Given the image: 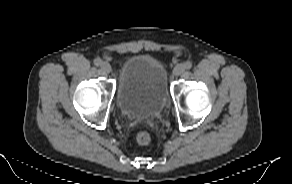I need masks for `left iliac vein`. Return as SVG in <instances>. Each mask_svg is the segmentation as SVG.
Returning <instances> with one entry per match:
<instances>
[{"label":"left iliac vein","instance_id":"1","mask_svg":"<svg viewBox=\"0 0 292 184\" xmlns=\"http://www.w3.org/2000/svg\"><path fill=\"white\" fill-rule=\"evenodd\" d=\"M184 70H185L184 65L179 64V65H177V66L173 69V75H174V76H179V75H181V74L184 72Z\"/></svg>","mask_w":292,"mask_h":184}]
</instances>
